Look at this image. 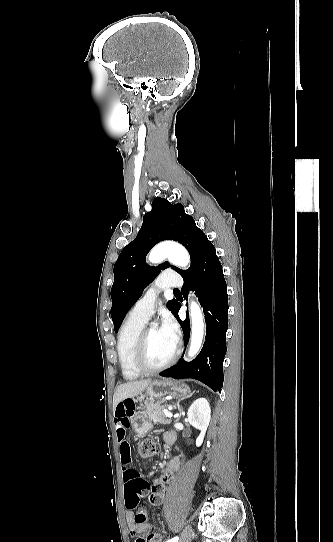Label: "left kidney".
Instances as JSON below:
<instances>
[{
	"label": "left kidney",
	"instance_id": "obj_1",
	"mask_svg": "<svg viewBox=\"0 0 333 542\" xmlns=\"http://www.w3.org/2000/svg\"><path fill=\"white\" fill-rule=\"evenodd\" d=\"M210 418L211 408L206 398H198V400H195V402L191 404L188 410L187 420L189 424L193 426V428H196V430H200V434L196 440L197 448H199V446H202L203 444L204 436L209 426Z\"/></svg>",
	"mask_w": 333,
	"mask_h": 542
}]
</instances>
